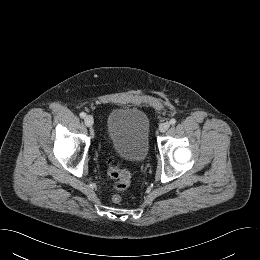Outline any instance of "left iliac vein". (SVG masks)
Returning a JSON list of instances; mask_svg holds the SVG:
<instances>
[{
    "label": "left iliac vein",
    "mask_w": 260,
    "mask_h": 260,
    "mask_svg": "<svg viewBox=\"0 0 260 260\" xmlns=\"http://www.w3.org/2000/svg\"><path fill=\"white\" fill-rule=\"evenodd\" d=\"M169 127H170V124L168 122L161 123L159 126V131L165 132L169 129Z\"/></svg>",
    "instance_id": "obj_1"
}]
</instances>
